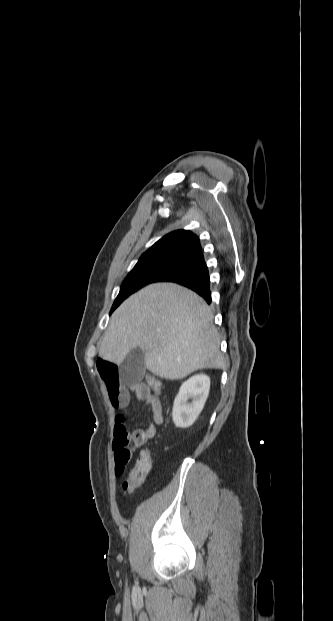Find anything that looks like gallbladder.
Returning <instances> with one entry per match:
<instances>
[{
	"label": "gallbladder",
	"instance_id": "1",
	"mask_svg": "<svg viewBox=\"0 0 333 621\" xmlns=\"http://www.w3.org/2000/svg\"><path fill=\"white\" fill-rule=\"evenodd\" d=\"M144 353L140 348L132 349L120 366V378L128 386L135 385L145 374Z\"/></svg>",
	"mask_w": 333,
	"mask_h": 621
}]
</instances>
